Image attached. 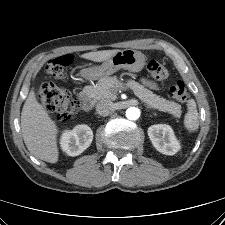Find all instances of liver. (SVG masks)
<instances>
[{
	"label": "liver",
	"mask_w": 225,
	"mask_h": 225,
	"mask_svg": "<svg viewBox=\"0 0 225 225\" xmlns=\"http://www.w3.org/2000/svg\"><path fill=\"white\" fill-rule=\"evenodd\" d=\"M117 49L102 50L83 54L81 57L102 62L114 55ZM21 132L30 153L49 163L58 161V128L47 110L38 102L34 88L31 89L21 112Z\"/></svg>",
	"instance_id": "liver-1"
}]
</instances>
